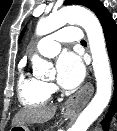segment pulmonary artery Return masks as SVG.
Returning a JSON list of instances; mask_svg holds the SVG:
<instances>
[{
	"instance_id": "1",
	"label": "pulmonary artery",
	"mask_w": 117,
	"mask_h": 131,
	"mask_svg": "<svg viewBox=\"0 0 117 131\" xmlns=\"http://www.w3.org/2000/svg\"><path fill=\"white\" fill-rule=\"evenodd\" d=\"M82 40V34L76 27H65L48 36L42 38L37 46L36 50L43 56L54 57L60 51L62 42H80Z\"/></svg>"
}]
</instances>
